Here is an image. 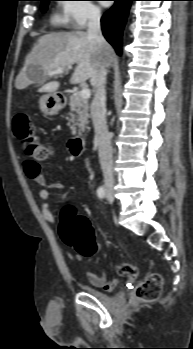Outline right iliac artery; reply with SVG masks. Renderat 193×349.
Returning <instances> with one entry per match:
<instances>
[{"mask_svg":"<svg viewBox=\"0 0 193 349\" xmlns=\"http://www.w3.org/2000/svg\"><path fill=\"white\" fill-rule=\"evenodd\" d=\"M106 195V191H105V187L104 186H101L97 189V196L100 198V199H103Z\"/></svg>","mask_w":193,"mask_h":349,"instance_id":"1","label":"right iliac artery"}]
</instances>
